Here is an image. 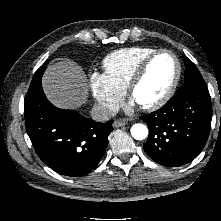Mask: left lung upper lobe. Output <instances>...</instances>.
Wrapping results in <instances>:
<instances>
[{
    "instance_id": "5c2ea615",
    "label": "left lung upper lobe",
    "mask_w": 221,
    "mask_h": 221,
    "mask_svg": "<svg viewBox=\"0 0 221 221\" xmlns=\"http://www.w3.org/2000/svg\"><path fill=\"white\" fill-rule=\"evenodd\" d=\"M184 62H185V67H186L185 68V83H184V86L177 92L188 89V88L206 86L205 81L203 80L200 72L198 71L194 63L187 57H184Z\"/></svg>"
}]
</instances>
